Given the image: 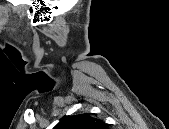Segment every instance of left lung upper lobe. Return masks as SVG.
<instances>
[{
    "mask_svg": "<svg viewBox=\"0 0 169 129\" xmlns=\"http://www.w3.org/2000/svg\"><path fill=\"white\" fill-rule=\"evenodd\" d=\"M57 129H106L102 120L96 119L89 114L69 116L61 121Z\"/></svg>",
    "mask_w": 169,
    "mask_h": 129,
    "instance_id": "5c2ea615",
    "label": "left lung upper lobe"
}]
</instances>
